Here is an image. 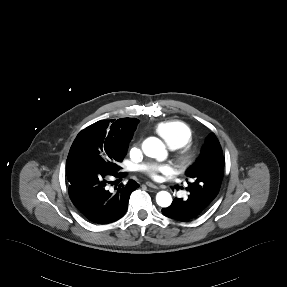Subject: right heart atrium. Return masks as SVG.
Instances as JSON below:
<instances>
[{"instance_id": "obj_1", "label": "right heart atrium", "mask_w": 287, "mask_h": 287, "mask_svg": "<svg viewBox=\"0 0 287 287\" xmlns=\"http://www.w3.org/2000/svg\"><path fill=\"white\" fill-rule=\"evenodd\" d=\"M137 151H138L137 146H133V147H132V152H137Z\"/></svg>"}]
</instances>
